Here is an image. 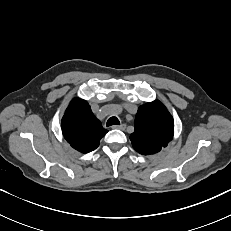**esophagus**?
<instances>
[{"label": "esophagus", "mask_w": 231, "mask_h": 231, "mask_svg": "<svg viewBox=\"0 0 231 231\" xmlns=\"http://www.w3.org/2000/svg\"><path fill=\"white\" fill-rule=\"evenodd\" d=\"M113 129H120L124 130L126 128V124H121V125H114L112 126Z\"/></svg>", "instance_id": "1"}]
</instances>
